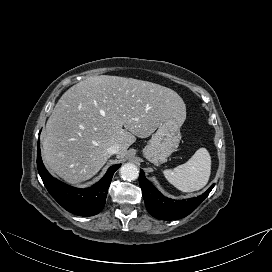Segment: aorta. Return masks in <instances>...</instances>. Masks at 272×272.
<instances>
[{"label":"aorta","mask_w":272,"mask_h":272,"mask_svg":"<svg viewBox=\"0 0 272 272\" xmlns=\"http://www.w3.org/2000/svg\"><path fill=\"white\" fill-rule=\"evenodd\" d=\"M120 175L121 178H123L124 180H136L139 175V170L135 164L126 163L121 166Z\"/></svg>","instance_id":"obj_1"}]
</instances>
